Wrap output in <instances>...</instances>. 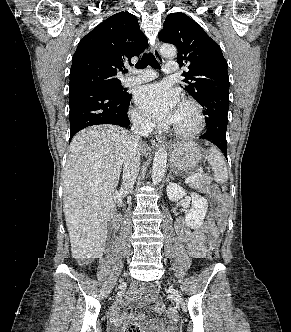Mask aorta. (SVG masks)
<instances>
[{
  "instance_id": "aorta-1",
  "label": "aorta",
  "mask_w": 291,
  "mask_h": 332,
  "mask_svg": "<svg viewBox=\"0 0 291 332\" xmlns=\"http://www.w3.org/2000/svg\"><path fill=\"white\" fill-rule=\"evenodd\" d=\"M161 54L166 58H173L177 54L175 46L170 44H164L160 49ZM167 164V153L164 148H159L155 153L153 166H152V182L154 185H158L165 174Z\"/></svg>"
}]
</instances>
